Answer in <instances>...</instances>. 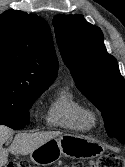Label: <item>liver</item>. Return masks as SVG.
I'll return each instance as SVG.
<instances>
[{
    "mask_svg": "<svg viewBox=\"0 0 125 167\" xmlns=\"http://www.w3.org/2000/svg\"><path fill=\"white\" fill-rule=\"evenodd\" d=\"M12 134V129L0 125V167L8 162L9 153L15 155H28L45 142L62 135L59 131L19 133L14 137L13 142L8 148H3V144Z\"/></svg>",
    "mask_w": 125,
    "mask_h": 167,
    "instance_id": "liver-1",
    "label": "liver"
}]
</instances>
